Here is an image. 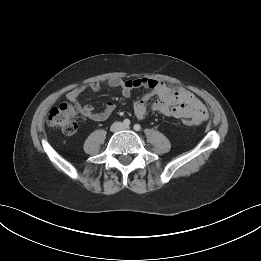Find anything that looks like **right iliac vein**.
I'll return each instance as SVG.
<instances>
[{
    "label": "right iliac vein",
    "mask_w": 261,
    "mask_h": 261,
    "mask_svg": "<svg viewBox=\"0 0 261 261\" xmlns=\"http://www.w3.org/2000/svg\"><path fill=\"white\" fill-rule=\"evenodd\" d=\"M121 128V124L117 123V124H114L111 128L112 131H117Z\"/></svg>",
    "instance_id": "63e3f726"
}]
</instances>
